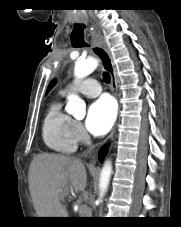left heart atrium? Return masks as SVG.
<instances>
[{
    "mask_svg": "<svg viewBox=\"0 0 181 227\" xmlns=\"http://www.w3.org/2000/svg\"><path fill=\"white\" fill-rule=\"evenodd\" d=\"M115 118L116 106L113 100L101 97L89 106L86 127L94 135H104L111 129Z\"/></svg>",
    "mask_w": 181,
    "mask_h": 227,
    "instance_id": "obj_1",
    "label": "left heart atrium"
}]
</instances>
